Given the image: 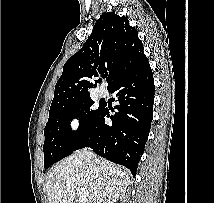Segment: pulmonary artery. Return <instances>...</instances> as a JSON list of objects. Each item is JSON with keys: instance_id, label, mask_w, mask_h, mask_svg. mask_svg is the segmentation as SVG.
Masks as SVG:
<instances>
[{"instance_id": "pulmonary-artery-1", "label": "pulmonary artery", "mask_w": 214, "mask_h": 203, "mask_svg": "<svg viewBox=\"0 0 214 203\" xmlns=\"http://www.w3.org/2000/svg\"><path fill=\"white\" fill-rule=\"evenodd\" d=\"M98 93H99V96H100V97H103V96L105 95L106 92H105V89H104V88H100L99 91H98Z\"/></svg>"}]
</instances>
